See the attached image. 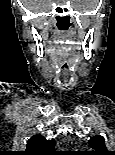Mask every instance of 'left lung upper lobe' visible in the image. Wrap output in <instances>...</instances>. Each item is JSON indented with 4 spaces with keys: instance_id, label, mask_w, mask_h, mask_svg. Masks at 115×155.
I'll list each match as a JSON object with an SVG mask.
<instances>
[{
    "instance_id": "1",
    "label": "left lung upper lobe",
    "mask_w": 115,
    "mask_h": 155,
    "mask_svg": "<svg viewBox=\"0 0 115 155\" xmlns=\"http://www.w3.org/2000/svg\"><path fill=\"white\" fill-rule=\"evenodd\" d=\"M89 144L93 149L91 155H115V152L112 154L113 152L107 150L105 139L100 135L93 136L89 140Z\"/></svg>"
}]
</instances>
